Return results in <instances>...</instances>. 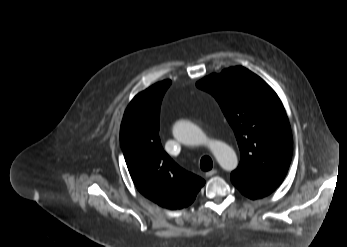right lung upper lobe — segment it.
Instances as JSON below:
<instances>
[{
    "instance_id": "cb5924a9",
    "label": "right lung upper lobe",
    "mask_w": 347,
    "mask_h": 247,
    "mask_svg": "<svg viewBox=\"0 0 347 247\" xmlns=\"http://www.w3.org/2000/svg\"><path fill=\"white\" fill-rule=\"evenodd\" d=\"M170 83L158 82L133 98L124 114L120 141L137 189L159 206L173 210L190 205L205 181L179 167L161 146L160 105Z\"/></svg>"
}]
</instances>
